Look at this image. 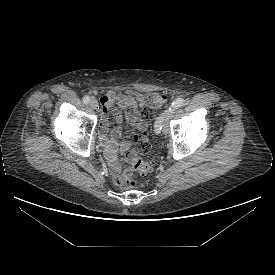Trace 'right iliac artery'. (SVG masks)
<instances>
[{"label":"right iliac artery","instance_id":"right-iliac-artery-1","mask_svg":"<svg viewBox=\"0 0 275 275\" xmlns=\"http://www.w3.org/2000/svg\"><path fill=\"white\" fill-rule=\"evenodd\" d=\"M83 102L85 103V104H88L89 102H90V97L89 96H84L83 97Z\"/></svg>","mask_w":275,"mask_h":275}]
</instances>
